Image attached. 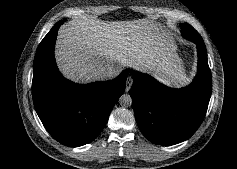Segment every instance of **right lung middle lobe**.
<instances>
[{
    "label": "right lung middle lobe",
    "mask_w": 237,
    "mask_h": 169,
    "mask_svg": "<svg viewBox=\"0 0 237 169\" xmlns=\"http://www.w3.org/2000/svg\"><path fill=\"white\" fill-rule=\"evenodd\" d=\"M64 21H65V20L59 21V22H58L54 27H56V26H60L61 24L64 23ZM54 27H53V28H54Z\"/></svg>",
    "instance_id": "obj_1"
}]
</instances>
